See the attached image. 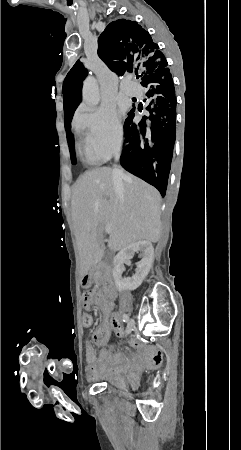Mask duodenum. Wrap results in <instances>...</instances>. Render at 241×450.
Here are the masks:
<instances>
[{
	"mask_svg": "<svg viewBox=\"0 0 241 450\" xmlns=\"http://www.w3.org/2000/svg\"><path fill=\"white\" fill-rule=\"evenodd\" d=\"M93 283H97L103 287H106L108 289H112V275L111 272L108 270L105 271H96V270H90L85 273L83 277V284L85 286H89Z\"/></svg>",
	"mask_w": 241,
	"mask_h": 450,
	"instance_id": "1",
	"label": "duodenum"
}]
</instances>
